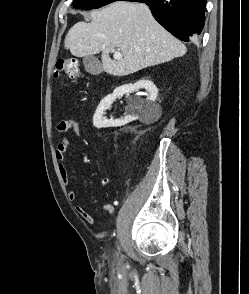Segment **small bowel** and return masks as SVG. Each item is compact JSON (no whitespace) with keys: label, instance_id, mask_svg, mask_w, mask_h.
I'll return each mask as SVG.
<instances>
[{"label":"small bowel","instance_id":"1","mask_svg":"<svg viewBox=\"0 0 249 294\" xmlns=\"http://www.w3.org/2000/svg\"><path fill=\"white\" fill-rule=\"evenodd\" d=\"M57 130L60 133H63L61 141L57 144L55 150V156L57 161L59 162V172L61 178L66 186H70V178L64 163L67 149L74 137H77L81 133V128L78 122L73 120L63 119L58 122ZM87 186V185H86ZM68 197L70 200L74 201L77 198V192L74 189H69ZM118 204V201H114L113 203H105L100 206V210L107 213L109 216H112L115 212V207ZM76 212L83 217V219L90 225L94 223V217L85 210L82 206L77 205L75 207Z\"/></svg>","mask_w":249,"mask_h":294}]
</instances>
